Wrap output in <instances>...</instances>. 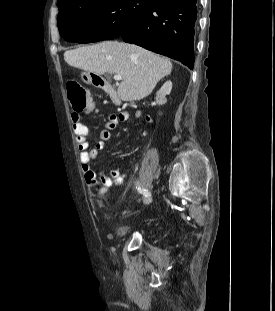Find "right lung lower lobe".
Wrapping results in <instances>:
<instances>
[{
  "label": "right lung lower lobe",
  "instance_id": "98d812e1",
  "mask_svg": "<svg viewBox=\"0 0 275 311\" xmlns=\"http://www.w3.org/2000/svg\"><path fill=\"white\" fill-rule=\"evenodd\" d=\"M196 19L197 0H158L137 15L118 37L193 69Z\"/></svg>",
  "mask_w": 275,
  "mask_h": 311
}]
</instances>
